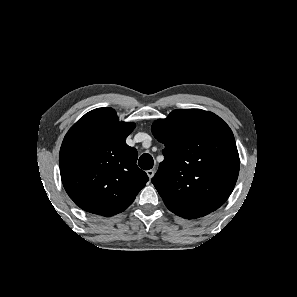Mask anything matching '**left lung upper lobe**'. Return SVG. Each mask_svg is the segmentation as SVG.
I'll list each match as a JSON object with an SVG mask.
<instances>
[{
	"mask_svg": "<svg viewBox=\"0 0 297 297\" xmlns=\"http://www.w3.org/2000/svg\"><path fill=\"white\" fill-rule=\"evenodd\" d=\"M165 145L152 183L167 208L193 219L218 209L232 193L240 160L234 135L217 115L178 109L152 125Z\"/></svg>",
	"mask_w": 297,
	"mask_h": 297,
	"instance_id": "left-lung-upper-lobe-1",
	"label": "left lung upper lobe"
}]
</instances>
